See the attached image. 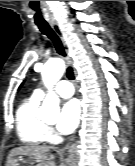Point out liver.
Segmentation results:
<instances>
[{
  "label": "liver",
  "instance_id": "1",
  "mask_svg": "<svg viewBox=\"0 0 135 166\" xmlns=\"http://www.w3.org/2000/svg\"><path fill=\"white\" fill-rule=\"evenodd\" d=\"M50 149V147L38 145H26L14 148L13 150H11L8 156L7 164L16 156H28L34 159H45Z\"/></svg>",
  "mask_w": 135,
  "mask_h": 166
}]
</instances>
